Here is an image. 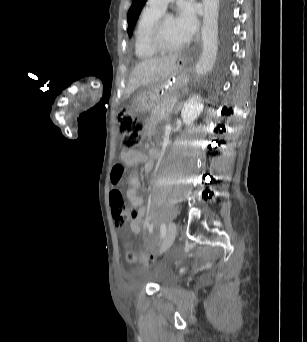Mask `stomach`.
I'll use <instances>...</instances> for the list:
<instances>
[{
    "label": "stomach",
    "mask_w": 307,
    "mask_h": 342,
    "mask_svg": "<svg viewBox=\"0 0 307 342\" xmlns=\"http://www.w3.org/2000/svg\"><path fill=\"white\" fill-rule=\"evenodd\" d=\"M190 63L188 58L180 56L173 70L161 83L148 86L136 93L131 100V109L134 112H147L153 110L166 96L176 95L178 97L189 82Z\"/></svg>",
    "instance_id": "0dacf381"
}]
</instances>
